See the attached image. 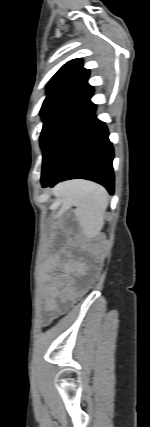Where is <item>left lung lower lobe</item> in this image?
<instances>
[{
  "instance_id": "obj_1",
  "label": "left lung lower lobe",
  "mask_w": 150,
  "mask_h": 427,
  "mask_svg": "<svg viewBox=\"0 0 150 427\" xmlns=\"http://www.w3.org/2000/svg\"><path fill=\"white\" fill-rule=\"evenodd\" d=\"M90 86L81 96L44 122L40 145L43 151V187L73 178L104 185L114 192L113 147L103 122L95 116Z\"/></svg>"
}]
</instances>
